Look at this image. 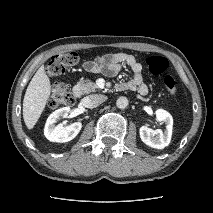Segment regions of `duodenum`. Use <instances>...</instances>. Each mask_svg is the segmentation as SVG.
Listing matches in <instances>:
<instances>
[{
  "label": "duodenum",
  "instance_id": "1",
  "mask_svg": "<svg viewBox=\"0 0 213 213\" xmlns=\"http://www.w3.org/2000/svg\"><path fill=\"white\" fill-rule=\"evenodd\" d=\"M73 95L78 98L81 96V90L79 88H75L73 91Z\"/></svg>",
  "mask_w": 213,
  "mask_h": 213
}]
</instances>
